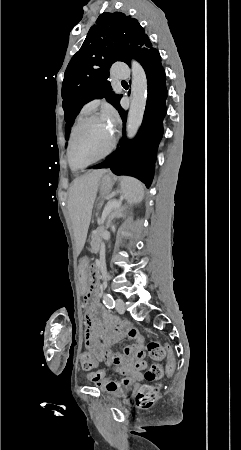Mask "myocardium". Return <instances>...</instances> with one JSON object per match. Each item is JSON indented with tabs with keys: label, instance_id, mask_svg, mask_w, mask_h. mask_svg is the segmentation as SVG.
<instances>
[{
	"label": "myocardium",
	"instance_id": "myocardium-1",
	"mask_svg": "<svg viewBox=\"0 0 241 450\" xmlns=\"http://www.w3.org/2000/svg\"><path fill=\"white\" fill-rule=\"evenodd\" d=\"M73 129H72V131H71V135H70V139H69V144H67V149H69V153H68V157H66V162H71V157H74V152H72V150H73V147H74V144H73V141L74 140H76V139H74L73 137H76V135L78 134V131L77 130H75V128L76 127H78V122H73ZM113 137H111V139L110 140H108V145H110V148H109V152H106V153H104V157H109V153H114V149H118V144H113V143H115V142H117V137H118V132H113ZM75 144H80V141L79 140H76L75 141ZM102 161V159L101 160H95V162H101Z\"/></svg>",
	"mask_w": 241,
	"mask_h": 450
}]
</instances>
